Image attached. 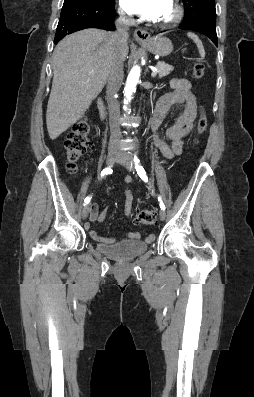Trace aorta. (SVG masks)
I'll return each mask as SVG.
<instances>
[{"mask_svg": "<svg viewBox=\"0 0 254 397\" xmlns=\"http://www.w3.org/2000/svg\"><path fill=\"white\" fill-rule=\"evenodd\" d=\"M139 77H140V67L134 66L127 77L126 85L124 88V94H125L124 110H128V104L131 100V95L136 89V85L138 83Z\"/></svg>", "mask_w": 254, "mask_h": 397, "instance_id": "obj_1", "label": "aorta"}]
</instances>
